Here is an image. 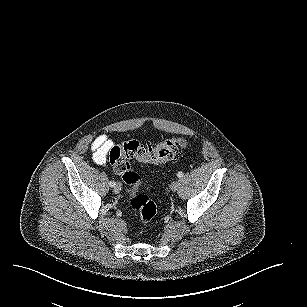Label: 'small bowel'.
I'll list each match as a JSON object with an SVG mask.
<instances>
[{
  "label": "small bowel",
  "instance_id": "c3829d8e",
  "mask_svg": "<svg viewBox=\"0 0 307 307\" xmlns=\"http://www.w3.org/2000/svg\"><path fill=\"white\" fill-rule=\"evenodd\" d=\"M113 146V141L106 134L96 136L91 143L93 160L98 165L106 162L108 152Z\"/></svg>",
  "mask_w": 307,
  "mask_h": 307
}]
</instances>
